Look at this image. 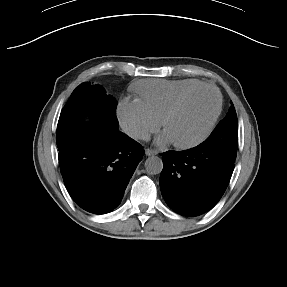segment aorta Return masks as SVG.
<instances>
[{
	"label": "aorta",
	"mask_w": 287,
	"mask_h": 287,
	"mask_svg": "<svg viewBox=\"0 0 287 287\" xmlns=\"http://www.w3.org/2000/svg\"><path fill=\"white\" fill-rule=\"evenodd\" d=\"M145 169L149 174H160L163 169V162L161 158H159L158 156L148 157L145 162Z\"/></svg>",
	"instance_id": "1"
}]
</instances>
